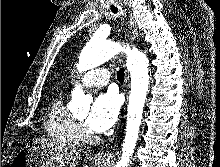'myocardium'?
<instances>
[{
    "instance_id": "f54148a6",
    "label": "myocardium",
    "mask_w": 220,
    "mask_h": 167,
    "mask_svg": "<svg viewBox=\"0 0 220 167\" xmlns=\"http://www.w3.org/2000/svg\"><path fill=\"white\" fill-rule=\"evenodd\" d=\"M75 121L77 125V136L79 140L86 143H92L96 141L95 135L89 129H87L83 121L78 118H75Z\"/></svg>"
}]
</instances>
